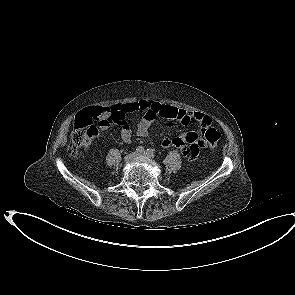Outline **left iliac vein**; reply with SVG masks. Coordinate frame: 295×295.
I'll return each instance as SVG.
<instances>
[{"instance_id":"4c4485c4","label":"left iliac vein","mask_w":295,"mask_h":295,"mask_svg":"<svg viewBox=\"0 0 295 295\" xmlns=\"http://www.w3.org/2000/svg\"><path fill=\"white\" fill-rule=\"evenodd\" d=\"M137 156L141 159H149L150 158V156L145 152L139 153V154H137Z\"/></svg>"}]
</instances>
